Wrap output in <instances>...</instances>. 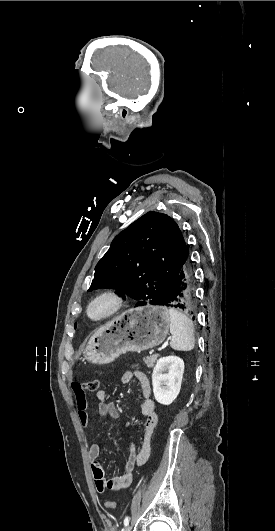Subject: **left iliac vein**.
I'll use <instances>...</instances> for the list:
<instances>
[{"label": "left iliac vein", "instance_id": "left-iliac-vein-1", "mask_svg": "<svg viewBox=\"0 0 275 531\" xmlns=\"http://www.w3.org/2000/svg\"><path fill=\"white\" fill-rule=\"evenodd\" d=\"M124 531H131V528L128 526L124 529Z\"/></svg>", "mask_w": 275, "mask_h": 531}]
</instances>
